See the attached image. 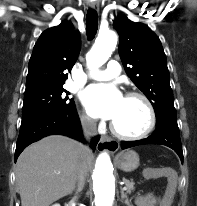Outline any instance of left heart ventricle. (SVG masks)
I'll list each match as a JSON object with an SVG mask.
<instances>
[{
    "label": "left heart ventricle",
    "mask_w": 197,
    "mask_h": 206,
    "mask_svg": "<svg viewBox=\"0 0 197 206\" xmlns=\"http://www.w3.org/2000/svg\"><path fill=\"white\" fill-rule=\"evenodd\" d=\"M114 125L124 133L142 132L148 124V112L144 103L137 98H123V102Z\"/></svg>",
    "instance_id": "left-heart-ventricle-1"
}]
</instances>
